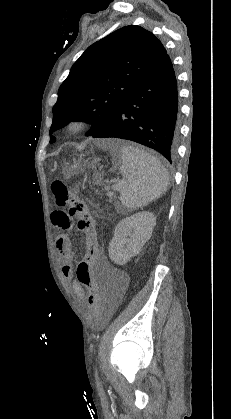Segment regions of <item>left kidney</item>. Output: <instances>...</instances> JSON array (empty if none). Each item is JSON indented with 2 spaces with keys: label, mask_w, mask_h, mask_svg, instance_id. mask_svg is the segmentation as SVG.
Instances as JSON below:
<instances>
[{
  "label": "left kidney",
  "mask_w": 231,
  "mask_h": 419,
  "mask_svg": "<svg viewBox=\"0 0 231 419\" xmlns=\"http://www.w3.org/2000/svg\"><path fill=\"white\" fill-rule=\"evenodd\" d=\"M156 218L153 213L139 212L121 220L115 227L109 243V257L118 265H124L139 254L150 239Z\"/></svg>",
  "instance_id": "left-kidney-1"
}]
</instances>
